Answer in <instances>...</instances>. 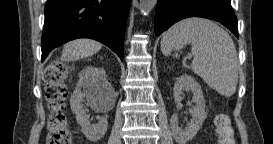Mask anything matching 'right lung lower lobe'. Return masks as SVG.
<instances>
[{
    "label": "right lung lower lobe",
    "mask_w": 273,
    "mask_h": 144,
    "mask_svg": "<svg viewBox=\"0 0 273 144\" xmlns=\"http://www.w3.org/2000/svg\"><path fill=\"white\" fill-rule=\"evenodd\" d=\"M130 3L131 0H47L42 61L55 47L76 38L98 40L123 60Z\"/></svg>",
    "instance_id": "1"
}]
</instances>
